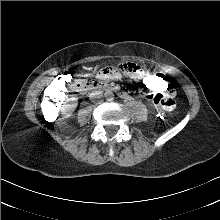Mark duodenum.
<instances>
[{"instance_id":"obj_1","label":"duodenum","mask_w":220,"mask_h":220,"mask_svg":"<svg viewBox=\"0 0 220 220\" xmlns=\"http://www.w3.org/2000/svg\"><path fill=\"white\" fill-rule=\"evenodd\" d=\"M104 85H99V86H92L88 85L87 82L83 80H75L72 84L71 87L76 90V91H87L89 89H98V88H103Z\"/></svg>"}]
</instances>
